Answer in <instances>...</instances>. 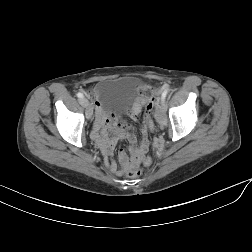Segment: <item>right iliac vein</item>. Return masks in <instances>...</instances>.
I'll return each instance as SVG.
<instances>
[{
  "instance_id": "63e3f726",
  "label": "right iliac vein",
  "mask_w": 252,
  "mask_h": 252,
  "mask_svg": "<svg viewBox=\"0 0 252 252\" xmlns=\"http://www.w3.org/2000/svg\"><path fill=\"white\" fill-rule=\"evenodd\" d=\"M80 104L86 108V115L88 119L92 118L93 110L91 105L89 104L88 100L85 98L80 99Z\"/></svg>"
}]
</instances>
